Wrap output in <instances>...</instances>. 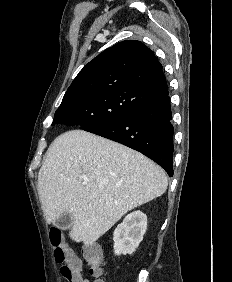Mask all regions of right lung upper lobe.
Returning a JSON list of instances; mask_svg holds the SVG:
<instances>
[{"mask_svg":"<svg viewBox=\"0 0 232 282\" xmlns=\"http://www.w3.org/2000/svg\"><path fill=\"white\" fill-rule=\"evenodd\" d=\"M111 89L136 90L146 94L152 102L168 92L162 65L154 53L140 41L125 40L86 64L62 101Z\"/></svg>","mask_w":232,"mask_h":282,"instance_id":"obj_1","label":"right lung upper lobe"}]
</instances>
